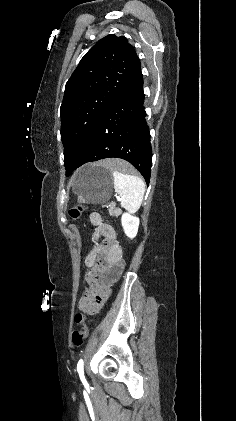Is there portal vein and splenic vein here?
I'll return each instance as SVG.
<instances>
[{"mask_svg":"<svg viewBox=\"0 0 236 421\" xmlns=\"http://www.w3.org/2000/svg\"><path fill=\"white\" fill-rule=\"evenodd\" d=\"M115 197H116V198H119V197H120V194H119V193H116V194H115Z\"/></svg>","mask_w":236,"mask_h":421,"instance_id":"1","label":"portal vein and splenic vein"}]
</instances>
